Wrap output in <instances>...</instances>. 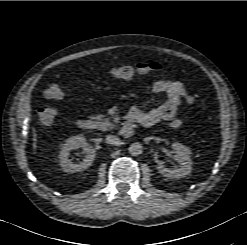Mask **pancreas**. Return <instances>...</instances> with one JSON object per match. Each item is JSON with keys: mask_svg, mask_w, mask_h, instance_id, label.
<instances>
[{"mask_svg": "<svg viewBox=\"0 0 247 245\" xmlns=\"http://www.w3.org/2000/svg\"><path fill=\"white\" fill-rule=\"evenodd\" d=\"M90 119L93 120V127L102 131L112 130L115 127L110 118L103 114L91 116Z\"/></svg>", "mask_w": 247, "mask_h": 245, "instance_id": "cf45deb5", "label": "pancreas"}]
</instances>
